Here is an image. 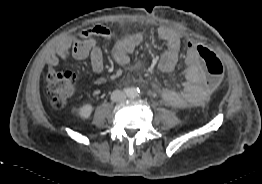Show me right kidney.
<instances>
[{"mask_svg":"<svg viewBox=\"0 0 262 184\" xmlns=\"http://www.w3.org/2000/svg\"><path fill=\"white\" fill-rule=\"evenodd\" d=\"M93 110L91 104H85L80 108V116L82 118H88Z\"/></svg>","mask_w":262,"mask_h":184,"instance_id":"right-kidney-1","label":"right kidney"}]
</instances>
